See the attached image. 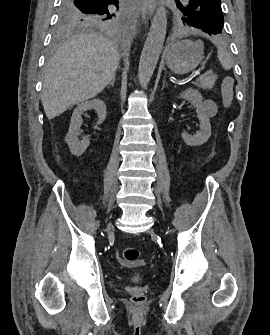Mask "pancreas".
I'll list each match as a JSON object with an SVG mask.
<instances>
[{"instance_id": "pancreas-1", "label": "pancreas", "mask_w": 270, "mask_h": 335, "mask_svg": "<svg viewBox=\"0 0 270 335\" xmlns=\"http://www.w3.org/2000/svg\"><path fill=\"white\" fill-rule=\"evenodd\" d=\"M216 80V74H213V72H205L203 76H200V78L196 80L195 86H198V88H203V90H211Z\"/></svg>"}]
</instances>
